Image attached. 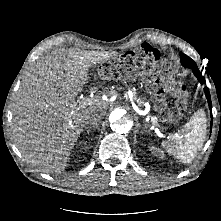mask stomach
I'll use <instances>...</instances> for the list:
<instances>
[{
    "label": "stomach",
    "mask_w": 221,
    "mask_h": 221,
    "mask_svg": "<svg viewBox=\"0 0 221 221\" xmlns=\"http://www.w3.org/2000/svg\"><path fill=\"white\" fill-rule=\"evenodd\" d=\"M144 90L152 99V116L158 122H167L173 116V99L167 94V82L171 78V68L162 60L150 64L146 69Z\"/></svg>",
    "instance_id": "0dacf381"
}]
</instances>
